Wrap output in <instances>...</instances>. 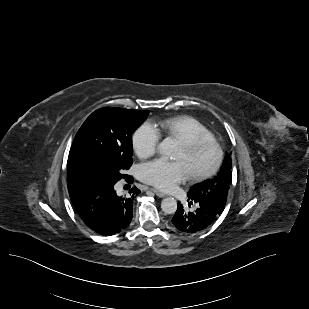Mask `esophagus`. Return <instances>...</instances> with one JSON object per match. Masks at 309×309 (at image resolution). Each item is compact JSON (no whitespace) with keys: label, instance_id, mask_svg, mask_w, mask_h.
<instances>
[{"label":"esophagus","instance_id":"34e87169","mask_svg":"<svg viewBox=\"0 0 309 309\" xmlns=\"http://www.w3.org/2000/svg\"><path fill=\"white\" fill-rule=\"evenodd\" d=\"M158 197H165L166 195L164 193H162L161 191L159 190H156V189H151Z\"/></svg>","mask_w":309,"mask_h":309}]
</instances>
